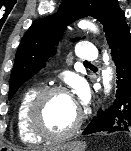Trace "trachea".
I'll use <instances>...</instances> for the list:
<instances>
[{
	"mask_svg": "<svg viewBox=\"0 0 131 151\" xmlns=\"http://www.w3.org/2000/svg\"><path fill=\"white\" fill-rule=\"evenodd\" d=\"M84 64H89V62L85 61Z\"/></svg>",
	"mask_w": 131,
	"mask_h": 151,
	"instance_id": "3493384b",
	"label": "trachea"
}]
</instances>
